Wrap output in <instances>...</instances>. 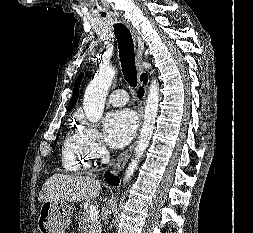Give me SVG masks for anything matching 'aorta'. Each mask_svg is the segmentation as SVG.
<instances>
[{"label": "aorta", "instance_id": "aorta-1", "mask_svg": "<svg viewBox=\"0 0 253 233\" xmlns=\"http://www.w3.org/2000/svg\"><path fill=\"white\" fill-rule=\"evenodd\" d=\"M115 75L116 70L113 67L101 68L87 86L83 99V109L89 121L96 123L101 119L104 111L106 94ZM158 101L159 86L157 81L154 79L149 87L144 112V121L140 131L139 140L135 148V155L126 170L124 183L131 179V176H133L138 167L140 158L149 146L155 127L158 112Z\"/></svg>", "mask_w": 253, "mask_h": 233}]
</instances>
